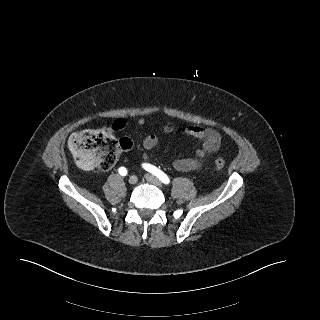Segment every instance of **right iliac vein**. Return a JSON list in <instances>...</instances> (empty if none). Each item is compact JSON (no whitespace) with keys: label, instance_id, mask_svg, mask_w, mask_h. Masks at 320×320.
I'll use <instances>...</instances> for the list:
<instances>
[{"label":"right iliac vein","instance_id":"right-iliac-vein-1","mask_svg":"<svg viewBox=\"0 0 320 320\" xmlns=\"http://www.w3.org/2000/svg\"><path fill=\"white\" fill-rule=\"evenodd\" d=\"M137 181H138V179H137V177L135 175L130 176V178L128 180L129 184H131V185L136 184Z\"/></svg>","mask_w":320,"mask_h":320}]
</instances>
